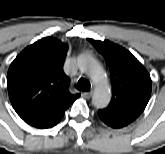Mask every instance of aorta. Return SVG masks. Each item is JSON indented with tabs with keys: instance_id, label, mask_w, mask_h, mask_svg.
I'll use <instances>...</instances> for the list:
<instances>
[{
	"instance_id": "obj_1",
	"label": "aorta",
	"mask_w": 165,
	"mask_h": 154,
	"mask_svg": "<svg viewBox=\"0 0 165 154\" xmlns=\"http://www.w3.org/2000/svg\"><path fill=\"white\" fill-rule=\"evenodd\" d=\"M78 68L87 74L96 84L92 97V104L96 108H105L110 100L111 93L108 85L107 75L99 62L88 54H82L77 59Z\"/></svg>"
}]
</instances>
